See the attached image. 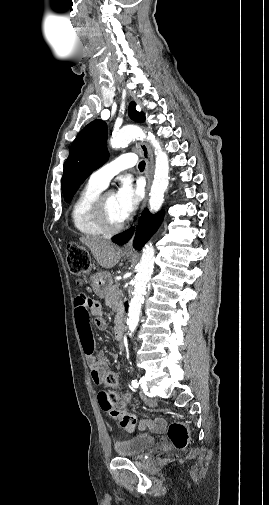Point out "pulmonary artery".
Here are the masks:
<instances>
[{
    "instance_id": "pulmonary-artery-1",
    "label": "pulmonary artery",
    "mask_w": 269,
    "mask_h": 505,
    "mask_svg": "<svg viewBox=\"0 0 269 505\" xmlns=\"http://www.w3.org/2000/svg\"><path fill=\"white\" fill-rule=\"evenodd\" d=\"M136 161V155L131 153L122 154L94 171L89 178V182L101 188H105L116 174L124 169L133 167Z\"/></svg>"
}]
</instances>
